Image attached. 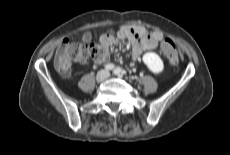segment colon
<instances>
[{
    "mask_svg": "<svg viewBox=\"0 0 230 155\" xmlns=\"http://www.w3.org/2000/svg\"><path fill=\"white\" fill-rule=\"evenodd\" d=\"M161 52L167 55L168 67L174 69L178 65L179 56L175 44L170 39H165L160 44ZM105 54L103 43L81 44L63 42L54 56L56 69L64 76L70 74V64L72 62L85 63L89 59L98 60Z\"/></svg>",
    "mask_w": 230,
    "mask_h": 155,
    "instance_id": "colon-1",
    "label": "colon"
}]
</instances>
